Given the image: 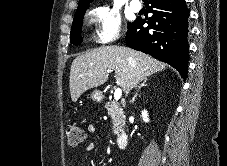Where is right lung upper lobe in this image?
I'll use <instances>...</instances> for the list:
<instances>
[{"label":"right lung upper lobe","instance_id":"1","mask_svg":"<svg viewBox=\"0 0 227 166\" xmlns=\"http://www.w3.org/2000/svg\"><path fill=\"white\" fill-rule=\"evenodd\" d=\"M93 0H79V5L77 10L79 9H87L89 4L92 2ZM146 1V0H143Z\"/></svg>","mask_w":227,"mask_h":166}]
</instances>
